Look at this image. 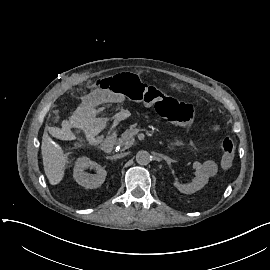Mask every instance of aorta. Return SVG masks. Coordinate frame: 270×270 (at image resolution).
I'll return each mask as SVG.
<instances>
[{"mask_svg": "<svg viewBox=\"0 0 270 270\" xmlns=\"http://www.w3.org/2000/svg\"><path fill=\"white\" fill-rule=\"evenodd\" d=\"M151 161V156L148 151H139L136 155V162L139 165H147Z\"/></svg>", "mask_w": 270, "mask_h": 270, "instance_id": "1", "label": "aorta"}]
</instances>
